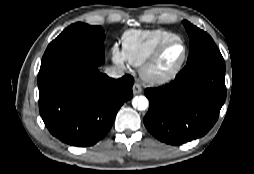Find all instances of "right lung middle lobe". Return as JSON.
<instances>
[{"label": "right lung middle lobe", "mask_w": 254, "mask_h": 174, "mask_svg": "<svg viewBox=\"0 0 254 174\" xmlns=\"http://www.w3.org/2000/svg\"><path fill=\"white\" fill-rule=\"evenodd\" d=\"M101 26L75 23L67 27L47 47L38 74V81L65 68L76 66H101L104 63Z\"/></svg>", "instance_id": "obj_1"}]
</instances>
